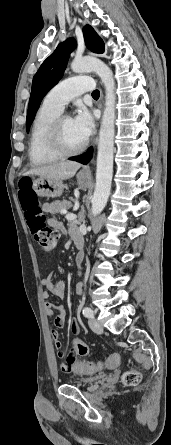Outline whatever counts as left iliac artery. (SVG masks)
I'll list each match as a JSON object with an SVG mask.
<instances>
[{"mask_svg":"<svg viewBox=\"0 0 171 445\" xmlns=\"http://www.w3.org/2000/svg\"><path fill=\"white\" fill-rule=\"evenodd\" d=\"M82 313L87 318H93V311L89 307H84Z\"/></svg>","mask_w":171,"mask_h":445,"instance_id":"left-iliac-artery-1","label":"left iliac artery"}]
</instances>
